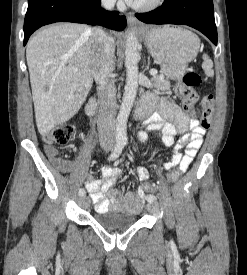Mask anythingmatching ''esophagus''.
Returning a JSON list of instances; mask_svg holds the SVG:
<instances>
[{"label": "esophagus", "instance_id": "34e87169", "mask_svg": "<svg viewBox=\"0 0 247 275\" xmlns=\"http://www.w3.org/2000/svg\"><path fill=\"white\" fill-rule=\"evenodd\" d=\"M127 22L130 26H139V27H143L142 23H140L137 18L131 14V13H128L127 16Z\"/></svg>", "mask_w": 247, "mask_h": 275}]
</instances>
